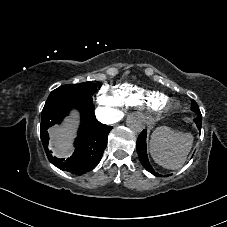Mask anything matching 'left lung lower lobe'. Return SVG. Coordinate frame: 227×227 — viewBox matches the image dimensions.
I'll return each instance as SVG.
<instances>
[{
	"mask_svg": "<svg viewBox=\"0 0 227 227\" xmlns=\"http://www.w3.org/2000/svg\"><path fill=\"white\" fill-rule=\"evenodd\" d=\"M194 122L196 123L198 129L201 131V122H198L196 120H194ZM137 153H138L139 160H140L141 164L143 165V167H145V169L148 170L149 172H151L152 174L160 177L161 175H159L158 173H156L154 171V169L152 168V166L148 160L147 149H146V130H143L138 136Z\"/></svg>",
	"mask_w": 227,
	"mask_h": 227,
	"instance_id": "0a47b994",
	"label": "left lung lower lobe"
}]
</instances>
